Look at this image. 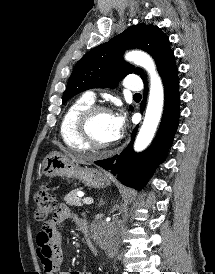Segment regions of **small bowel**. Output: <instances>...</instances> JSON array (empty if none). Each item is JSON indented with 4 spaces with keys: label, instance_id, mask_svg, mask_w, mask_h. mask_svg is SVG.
<instances>
[{
    "label": "small bowel",
    "instance_id": "c3829d8e",
    "mask_svg": "<svg viewBox=\"0 0 215 274\" xmlns=\"http://www.w3.org/2000/svg\"><path fill=\"white\" fill-rule=\"evenodd\" d=\"M70 218L75 220L80 229L86 227L85 222L76 218L66 205H60L57 213L43 225L37 234V256L46 274H73L61 270L63 261L62 235L58 230V226ZM79 274L91 273L82 272Z\"/></svg>",
    "mask_w": 215,
    "mask_h": 274
}]
</instances>
